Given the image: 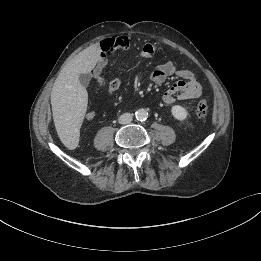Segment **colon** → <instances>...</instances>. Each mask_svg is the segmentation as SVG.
<instances>
[{"label": "colon", "instance_id": "1", "mask_svg": "<svg viewBox=\"0 0 261 261\" xmlns=\"http://www.w3.org/2000/svg\"><path fill=\"white\" fill-rule=\"evenodd\" d=\"M108 90V87H107ZM109 91V90H108ZM196 115L198 118H204L208 112V102L205 98L201 99L196 106Z\"/></svg>", "mask_w": 261, "mask_h": 261}]
</instances>
